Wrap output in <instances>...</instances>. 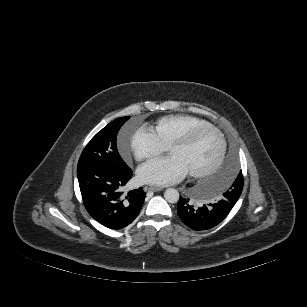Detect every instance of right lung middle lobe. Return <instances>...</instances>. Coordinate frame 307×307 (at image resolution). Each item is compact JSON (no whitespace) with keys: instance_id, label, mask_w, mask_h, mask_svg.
<instances>
[{"instance_id":"dd1d6c3e","label":"right lung middle lobe","mask_w":307,"mask_h":307,"mask_svg":"<svg viewBox=\"0 0 307 307\" xmlns=\"http://www.w3.org/2000/svg\"><path fill=\"white\" fill-rule=\"evenodd\" d=\"M130 116L115 119L99 131L83 150L77 172L89 168H103L115 172L129 169L118 153L116 138L119 129Z\"/></svg>"}]
</instances>
